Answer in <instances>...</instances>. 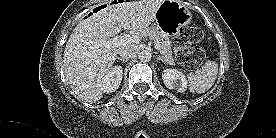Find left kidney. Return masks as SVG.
<instances>
[{
    "label": "left kidney",
    "mask_w": 276,
    "mask_h": 138,
    "mask_svg": "<svg viewBox=\"0 0 276 138\" xmlns=\"http://www.w3.org/2000/svg\"><path fill=\"white\" fill-rule=\"evenodd\" d=\"M162 79L168 89H177L178 92H184L187 88L185 76L176 69H166L163 71Z\"/></svg>",
    "instance_id": "left-kidney-1"
}]
</instances>
